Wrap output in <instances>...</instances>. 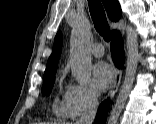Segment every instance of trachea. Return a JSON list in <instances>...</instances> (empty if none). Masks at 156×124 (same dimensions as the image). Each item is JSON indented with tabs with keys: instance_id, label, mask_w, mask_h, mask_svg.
Instances as JSON below:
<instances>
[{
	"instance_id": "obj_1",
	"label": "trachea",
	"mask_w": 156,
	"mask_h": 124,
	"mask_svg": "<svg viewBox=\"0 0 156 124\" xmlns=\"http://www.w3.org/2000/svg\"><path fill=\"white\" fill-rule=\"evenodd\" d=\"M88 4L96 31L104 38L105 41H110V27L100 0H88Z\"/></svg>"
}]
</instances>
